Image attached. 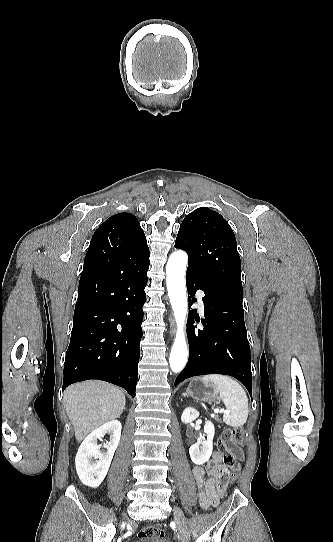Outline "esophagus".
I'll return each mask as SVG.
<instances>
[{
    "instance_id": "34e87169",
    "label": "esophagus",
    "mask_w": 333,
    "mask_h": 542,
    "mask_svg": "<svg viewBox=\"0 0 333 542\" xmlns=\"http://www.w3.org/2000/svg\"><path fill=\"white\" fill-rule=\"evenodd\" d=\"M169 321H170V335L173 336L175 333V322L172 315H170Z\"/></svg>"
}]
</instances>
